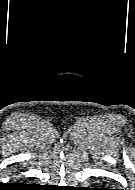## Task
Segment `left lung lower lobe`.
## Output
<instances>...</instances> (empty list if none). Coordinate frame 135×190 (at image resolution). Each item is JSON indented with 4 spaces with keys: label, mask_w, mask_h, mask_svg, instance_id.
Returning <instances> with one entry per match:
<instances>
[{
    "label": "left lung lower lobe",
    "mask_w": 135,
    "mask_h": 190,
    "mask_svg": "<svg viewBox=\"0 0 135 190\" xmlns=\"http://www.w3.org/2000/svg\"><path fill=\"white\" fill-rule=\"evenodd\" d=\"M99 190H108L107 188H99Z\"/></svg>",
    "instance_id": "1"
}]
</instances>
